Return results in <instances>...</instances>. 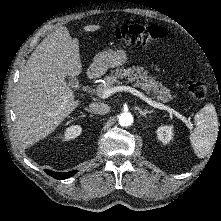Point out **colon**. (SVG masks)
Wrapping results in <instances>:
<instances>
[{"mask_svg": "<svg viewBox=\"0 0 221 221\" xmlns=\"http://www.w3.org/2000/svg\"><path fill=\"white\" fill-rule=\"evenodd\" d=\"M165 28L158 25L126 24L121 25L108 35L113 39L131 46H143L166 36ZM190 94L196 99H203L207 94V87L202 81H193L188 86Z\"/></svg>", "mask_w": 221, "mask_h": 221, "instance_id": "5ec220e1", "label": "colon"}]
</instances>
